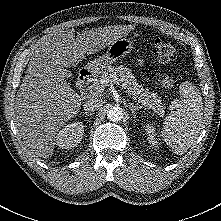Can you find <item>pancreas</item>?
Returning <instances> with one entry per match:
<instances>
[{
  "label": "pancreas",
  "mask_w": 221,
  "mask_h": 221,
  "mask_svg": "<svg viewBox=\"0 0 221 221\" xmlns=\"http://www.w3.org/2000/svg\"><path fill=\"white\" fill-rule=\"evenodd\" d=\"M116 77H120L119 83H121L122 87L126 89L129 96L137 98L143 106L152 109L160 116H164L165 106L162 104L161 98L158 97L156 93H151L148 89L139 85L131 70L123 65L117 67L109 66L93 85L106 86L111 79Z\"/></svg>",
  "instance_id": "1"
}]
</instances>
